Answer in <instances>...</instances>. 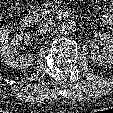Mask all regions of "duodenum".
<instances>
[{
	"instance_id": "1",
	"label": "duodenum",
	"mask_w": 113,
	"mask_h": 113,
	"mask_svg": "<svg viewBox=\"0 0 113 113\" xmlns=\"http://www.w3.org/2000/svg\"><path fill=\"white\" fill-rule=\"evenodd\" d=\"M73 17V12L70 9H60L59 11H57L54 15L52 16H48V19H58V20H67V19H71ZM35 21V18L33 15H25L24 17H22L20 24L23 28H30L33 23Z\"/></svg>"
}]
</instances>
